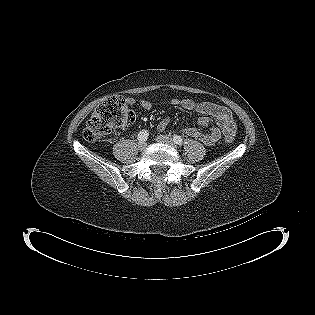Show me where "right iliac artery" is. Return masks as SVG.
I'll return each mask as SVG.
<instances>
[{
	"label": "right iliac artery",
	"mask_w": 315,
	"mask_h": 315,
	"mask_svg": "<svg viewBox=\"0 0 315 315\" xmlns=\"http://www.w3.org/2000/svg\"><path fill=\"white\" fill-rule=\"evenodd\" d=\"M148 135H149V133H148L147 130L140 131L139 134H138L139 142L146 141L147 138H148Z\"/></svg>",
	"instance_id": "82829eb1"
}]
</instances>
